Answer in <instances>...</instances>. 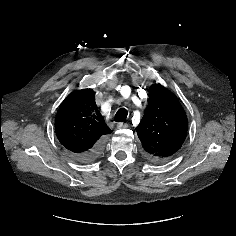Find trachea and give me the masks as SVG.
Segmentation results:
<instances>
[{"label":"trachea","mask_w":236,"mask_h":236,"mask_svg":"<svg viewBox=\"0 0 236 236\" xmlns=\"http://www.w3.org/2000/svg\"><path fill=\"white\" fill-rule=\"evenodd\" d=\"M128 112L125 108H121L117 111V113L115 114V118L114 120L116 122H123L125 121V119L127 118Z\"/></svg>","instance_id":"trachea-1"}]
</instances>
